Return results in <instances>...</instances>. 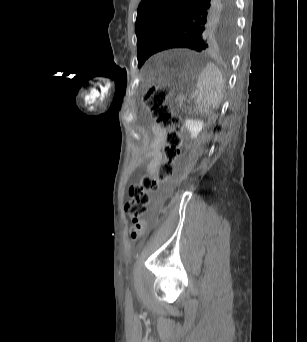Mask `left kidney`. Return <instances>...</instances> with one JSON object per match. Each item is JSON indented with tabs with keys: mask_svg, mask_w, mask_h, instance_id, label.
Returning <instances> with one entry per match:
<instances>
[{
	"mask_svg": "<svg viewBox=\"0 0 307 342\" xmlns=\"http://www.w3.org/2000/svg\"><path fill=\"white\" fill-rule=\"evenodd\" d=\"M185 126L191 134V138H197L200 134L204 124L201 120H185Z\"/></svg>",
	"mask_w": 307,
	"mask_h": 342,
	"instance_id": "5707ae66",
	"label": "left kidney"
}]
</instances>
